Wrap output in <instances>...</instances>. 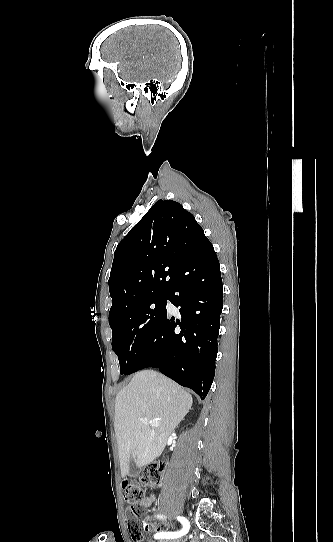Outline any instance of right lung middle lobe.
<instances>
[{
    "label": "right lung middle lobe",
    "mask_w": 333,
    "mask_h": 542,
    "mask_svg": "<svg viewBox=\"0 0 333 542\" xmlns=\"http://www.w3.org/2000/svg\"><path fill=\"white\" fill-rule=\"evenodd\" d=\"M166 304L167 295L109 319L112 349L118 356L121 374H129L137 358L152 342L159 323L167 315Z\"/></svg>",
    "instance_id": "1"
}]
</instances>
